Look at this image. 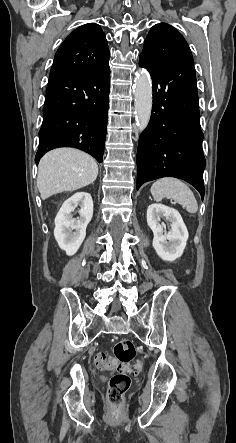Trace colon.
I'll list each match as a JSON object with an SVG mask.
<instances>
[{
	"instance_id": "colon-1",
	"label": "colon",
	"mask_w": 236,
	"mask_h": 443,
	"mask_svg": "<svg viewBox=\"0 0 236 443\" xmlns=\"http://www.w3.org/2000/svg\"><path fill=\"white\" fill-rule=\"evenodd\" d=\"M136 348L128 339L118 340L113 347V355L104 353L95 355V365L101 370H127L141 372L142 364L135 360ZM130 387V378L125 373L113 375L109 381L108 399L112 405H119Z\"/></svg>"
}]
</instances>
